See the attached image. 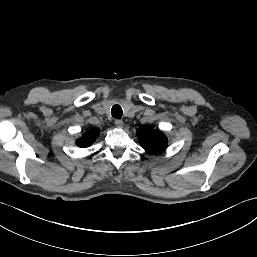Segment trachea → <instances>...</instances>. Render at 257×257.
I'll return each mask as SVG.
<instances>
[{
	"mask_svg": "<svg viewBox=\"0 0 257 257\" xmlns=\"http://www.w3.org/2000/svg\"><path fill=\"white\" fill-rule=\"evenodd\" d=\"M111 114L114 118L121 119L123 115V110L120 105L116 104L111 109Z\"/></svg>",
	"mask_w": 257,
	"mask_h": 257,
	"instance_id": "3493384b",
	"label": "trachea"
}]
</instances>
